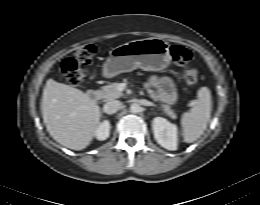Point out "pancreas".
I'll list each match as a JSON object with an SVG mask.
<instances>
[{"mask_svg": "<svg viewBox=\"0 0 260 205\" xmlns=\"http://www.w3.org/2000/svg\"><path fill=\"white\" fill-rule=\"evenodd\" d=\"M118 83H110L109 85H106L101 88L99 91L100 98L104 99V101H110L117 98H120L123 96V93L118 90ZM145 89L147 90L149 96L154 100L158 101V98L155 94V92L149 88V85L147 83L144 84ZM163 111L172 119H176L177 115L176 113L171 109L170 106L162 104L161 105Z\"/></svg>", "mask_w": 260, "mask_h": 205, "instance_id": "1", "label": "pancreas"}]
</instances>
